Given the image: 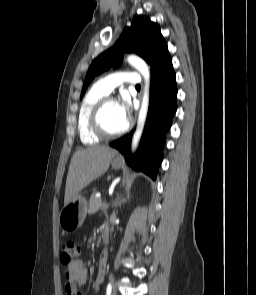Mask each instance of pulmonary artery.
Wrapping results in <instances>:
<instances>
[{"instance_id":"obj_1","label":"pulmonary artery","mask_w":256,"mask_h":295,"mask_svg":"<svg viewBox=\"0 0 256 295\" xmlns=\"http://www.w3.org/2000/svg\"><path fill=\"white\" fill-rule=\"evenodd\" d=\"M140 75L137 72L119 71L100 78L96 85L106 94L111 93L114 88L123 84H139Z\"/></svg>"}]
</instances>
